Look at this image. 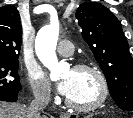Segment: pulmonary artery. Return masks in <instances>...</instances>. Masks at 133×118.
<instances>
[{
  "label": "pulmonary artery",
  "mask_w": 133,
  "mask_h": 118,
  "mask_svg": "<svg viewBox=\"0 0 133 118\" xmlns=\"http://www.w3.org/2000/svg\"><path fill=\"white\" fill-rule=\"evenodd\" d=\"M58 54L67 57L73 54L74 45L69 40H61L57 48Z\"/></svg>",
  "instance_id": "e3ab8cb5"
}]
</instances>
